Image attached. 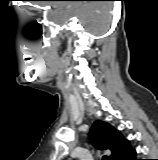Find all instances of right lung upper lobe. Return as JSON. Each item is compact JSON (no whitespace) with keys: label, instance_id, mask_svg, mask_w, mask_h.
Returning a JSON list of instances; mask_svg holds the SVG:
<instances>
[{"label":"right lung upper lobe","instance_id":"right-lung-upper-lobe-1","mask_svg":"<svg viewBox=\"0 0 158 160\" xmlns=\"http://www.w3.org/2000/svg\"><path fill=\"white\" fill-rule=\"evenodd\" d=\"M89 137L98 149L111 151V155L106 160H119L131 148L129 141L118 130L100 120L94 122Z\"/></svg>","mask_w":158,"mask_h":160}]
</instances>
